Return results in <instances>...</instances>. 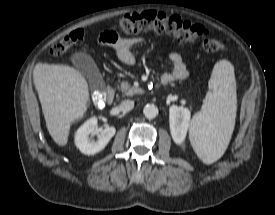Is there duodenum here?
Segmentation results:
<instances>
[{
  "label": "duodenum",
  "mask_w": 275,
  "mask_h": 215,
  "mask_svg": "<svg viewBox=\"0 0 275 215\" xmlns=\"http://www.w3.org/2000/svg\"><path fill=\"white\" fill-rule=\"evenodd\" d=\"M114 96H115V89L113 86H110L105 96L97 99V103L102 105L104 103L111 102L114 99Z\"/></svg>",
  "instance_id": "duodenum-1"
}]
</instances>
